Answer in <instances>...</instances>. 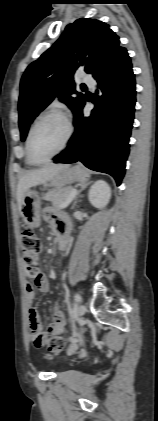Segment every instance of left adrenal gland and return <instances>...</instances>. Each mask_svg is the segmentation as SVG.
<instances>
[{"label": "left adrenal gland", "instance_id": "1", "mask_svg": "<svg viewBox=\"0 0 158 421\" xmlns=\"http://www.w3.org/2000/svg\"><path fill=\"white\" fill-rule=\"evenodd\" d=\"M89 184H91V182H86V183H83L82 185H81V188H80V190L78 191V193H77V197H76V199H75V202H74V204H73V206H72V209L76 206V204H77V202H78V198L81 196L80 194H81V192L89 185Z\"/></svg>", "mask_w": 158, "mask_h": 421}]
</instances>
